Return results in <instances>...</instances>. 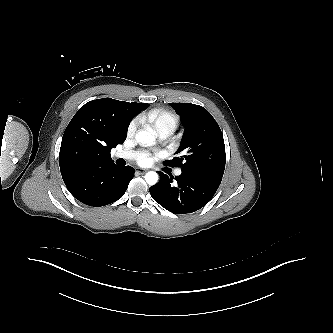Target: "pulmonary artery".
<instances>
[{"instance_id":"pulmonary-artery-1","label":"pulmonary artery","mask_w":333,"mask_h":333,"mask_svg":"<svg viewBox=\"0 0 333 333\" xmlns=\"http://www.w3.org/2000/svg\"><path fill=\"white\" fill-rule=\"evenodd\" d=\"M159 134H160L161 138H166L169 135H171L172 132L169 130H165V131L160 132ZM113 156L118 159H133L136 156V154L129 150H122V151L115 152ZM175 175H178V176L181 175V170L177 169L175 171Z\"/></svg>"}]
</instances>
